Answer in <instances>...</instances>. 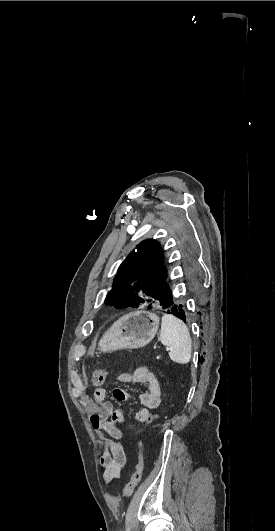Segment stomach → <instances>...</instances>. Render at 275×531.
Listing matches in <instances>:
<instances>
[{"instance_id":"stomach-1","label":"stomach","mask_w":275,"mask_h":531,"mask_svg":"<svg viewBox=\"0 0 275 531\" xmlns=\"http://www.w3.org/2000/svg\"><path fill=\"white\" fill-rule=\"evenodd\" d=\"M160 325V317L149 311H133L115 321L102 335L98 343L101 353H113L119 349H140L148 345Z\"/></svg>"}]
</instances>
